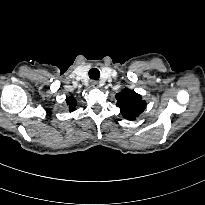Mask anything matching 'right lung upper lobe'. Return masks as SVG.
Segmentation results:
<instances>
[{
  "label": "right lung upper lobe",
  "instance_id": "cb5924a9",
  "mask_svg": "<svg viewBox=\"0 0 205 205\" xmlns=\"http://www.w3.org/2000/svg\"><path fill=\"white\" fill-rule=\"evenodd\" d=\"M67 105H69V111L72 112L75 110L76 100L73 97H69L66 99Z\"/></svg>",
  "mask_w": 205,
  "mask_h": 205
}]
</instances>
